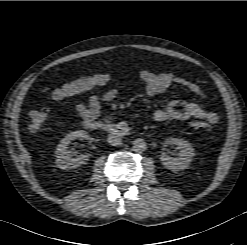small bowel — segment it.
I'll list each match as a JSON object with an SVG mask.
<instances>
[{
	"label": "small bowel",
	"instance_id": "small-bowel-1",
	"mask_svg": "<svg viewBox=\"0 0 247 245\" xmlns=\"http://www.w3.org/2000/svg\"><path fill=\"white\" fill-rule=\"evenodd\" d=\"M138 77L147 95L163 93L171 85L178 84L196 94L200 99L204 101L208 99L206 92L199 85L171 72L156 73L151 70H141L138 73ZM122 86L123 83L119 82L115 86L106 89L103 93L91 96L86 104H77L75 106L76 114L83 121L96 120L101 114L102 105L114 101L118 97ZM153 118L158 122L195 119L206 121L212 125L218 121L217 114L212 110L206 109L195 102L181 100L171 101L165 108L156 109L153 113Z\"/></svg>",
	"mask_w": 247,
	"mask_h": 245
}]
</instances>
